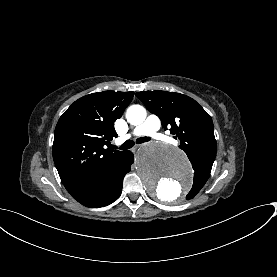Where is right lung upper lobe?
Segmentation results:
<instances>
[{
	"label": "right lung upper lobe",
	"mask_w": 277,
	"mask_h": 277,
	"mask_svg": "<svg viewBox=\"0 0 277 277\" xmlns=\"http://www.w3.org/2000/svg\"><path fill=\"white\" fill-rule=\"evenodd\" d=\"M134 92L103 91L76 100L60 117L52 154L61 181L70 193L125 151L105 149L117 137L114 122Z\"/></svg>",
	"instance_id": "obj_1"
}]
</instances>
